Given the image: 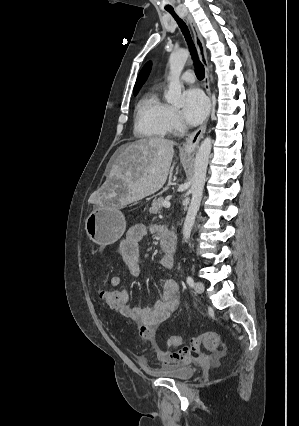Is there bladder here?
<instances>
[{"mask_svg":"<svg viewBox=\"0 0 299 426\" xmlns=\"http://www.w3.org/2000/svg\"><path fill=\"white\" fill-rule=\"evenodd\" d=\"M149 372L154 376L171 378L176 381H187L195 374V370L190 366H165L155 370L150 369Z\"/></svg>","mask_w":299,"mask_h":426,"instance_id":"obj_1","label":"bladder"}]
</instances>
